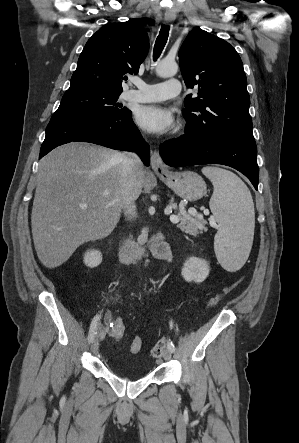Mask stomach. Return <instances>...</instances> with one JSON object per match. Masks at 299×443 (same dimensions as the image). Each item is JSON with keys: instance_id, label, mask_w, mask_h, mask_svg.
I'll return each mask as SVG.
<instances>
[{"instance_id": "1", "label": "stomach", "mask_w": 299, "mask_h": 443, "mask_svg": "<svg viewBox=\"0 0 299 443\" xmlns=\"http://www.w3.org/2000/svg\"><path fill=\"white\" fill-rule=\"evenodd\" d=\"M158 177L179 197L188 201H196L206 194V183L195 172H170L157 173Z\"/></svg>"}]
</instances>
